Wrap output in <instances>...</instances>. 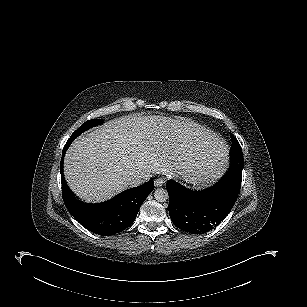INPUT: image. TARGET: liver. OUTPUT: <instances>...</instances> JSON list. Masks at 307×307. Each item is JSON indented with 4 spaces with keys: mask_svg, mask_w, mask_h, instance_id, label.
Masks as SVG:
<instances>
[{
    "mask_svg": "<svg viewBox=\"0 0 307 307\" xmlns=\"http://www.w3.org/2000/svg\"><path fill=\"white\" fill-rule=\"evenodd\" d=\"M213 137L196 124L166 117L122 116L77 138L64 158L71 190L86 202H103L140 175L221 172Z\"/></svg>",
    "mask_w": 307,
    "mask_h": 307,
    "instance_id": "1",
    "label": "liver"
}]
</instances>
